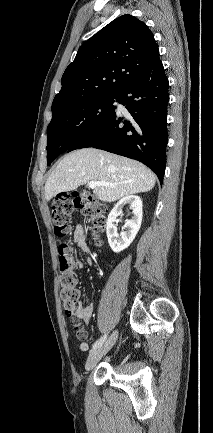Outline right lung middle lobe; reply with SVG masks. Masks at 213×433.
<instances>
[{
  "label": "right lung middle lobe",
  "instance_id": "dd1d6c3e",
  "mask_svg": "<svg viewBox=\"0 0 213 433\" xmlns=\"http://www.w3.org/2000/svg\"><path fill=\"white\" fill-rule=\"evenodd\" d=\"M121 95H99L53 113L47 129V165L61 153L104 125L115 113Z\"/></svg>",
  "mask_w": 213,
  "mask_h": 433
}]
</instances>
